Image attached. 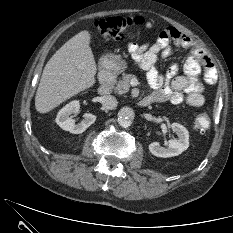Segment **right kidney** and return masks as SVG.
<instances>
[{
  "label": "right kidney",
  "instance_id": "obj_1",
  "mask_svg": "<svg viewBox=\"0 0 233 233\" xmlns=\"http://www.w3.org/2000/svg\"><path fill=\"white\" fill-rule=\"evenodd\" d=\"M80 109L79 101L74 100L64 106L57 114L56 123L65 131L73 134L84 132L96 120V116L91 113H85L83 120L75 124L73 115L75 116Z\"/></svg>",
  "mask_w": 233,
  "mask_h": 233
}]
</instances>
